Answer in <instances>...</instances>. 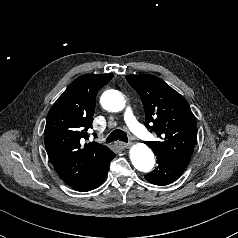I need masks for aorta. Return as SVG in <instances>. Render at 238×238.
Returning <instances> with one entry per match:
<instances>
[{
    "label": "aorta",
    "mask_w": 238,
    "mask_h": 238,
    "mask_svg": "<svg viewBox=\"0 0 238 238\" xmlns=\"http://www.w3.org/2000/svg\"><path fill=\"white\" fill-rule=\"evenodd\" d=\"M101 105L106 110L118 112L125 107V101L119 91L107 90L102 94ZM129 154L131 162L137 170L149 172L153 169L155 164L154 154L145 144L133 145Z\"/></svg>",
    "instance_id": "obj_1"
}]
</instances>
